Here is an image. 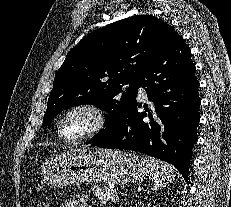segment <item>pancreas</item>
<instances>
[{
	"label": "pancreas",
	"instance_id": "cf45deb5",
	"mask_svg": "<svg viewBox=\"0 0 231 207\" xmlns=\"http://www.w3.org/2000/svg\"><path fill=\"white\" fill-rule=\"evenodd\" d=\"M92 192L101 205L114 202V198L117 196V192L114 188L94 186Z\"/></svg>",
	"mask_w": 231,
	"mask_h": 207
}]
</instances>
